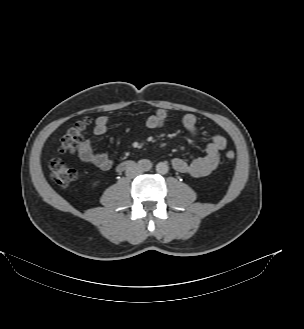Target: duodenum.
Masks as SVG:
<instances>
[{
    "label": "duodenum",
    "mask_w": 304,
    "mask_h": 329,
    "mask_svg": "<svg viewBox=\"0 0 304 329\" xmlns=\"http://www.w3.org/2000/svg\"><path fill=\"white\" fill-rule=\"evenodd\" d=\"M134 167H135V165L132 162L124 161L118 165L117 170L124 171V170H128V169H132Z\"/></svg>",
    "instance_id": "duodenum-1"
}]
</instances>
